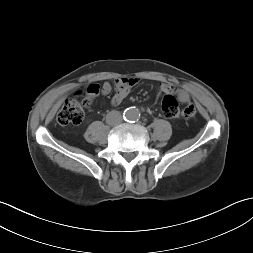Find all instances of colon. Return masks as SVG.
<instances>
[{"label":"colon","instance_id":"obj_1","mask_svg":"<svg viewBox=\"0 0 253 253\" xmlns=\"http://www.w3.org/2000/svg\"><path fill=\"white\" fill-rule=\"evenodd\" d=\"M97 91H88L87 94L79 93L75 97L65 100L62 108L58 112L57 120L61 125L79 124L84 118V108L90 103L91 98ZM162 112L167 119L176 120L180 115V106L176 98L170 94L162 100Z\"/></svg>","mask_w":253,"mask_h":253}]
</instances>
